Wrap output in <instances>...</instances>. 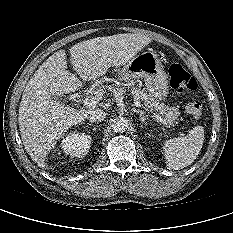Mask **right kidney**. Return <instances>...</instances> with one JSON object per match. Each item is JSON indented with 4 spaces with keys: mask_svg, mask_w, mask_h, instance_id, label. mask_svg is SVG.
I'll list each match as a JSON object with an SVG mask.
<instances>
[{
    "mask_svg": "<svg viewBox=\"0 0 233 233\" xmlns=\"http://www.w3.org/2000/svg\"><path fill=\"white\" fill-rule=\"evenodd\" d=\"M91 136L86 133L72 132L62 140L61 148L71 157H83L89 152Z\"/></svg>",
    "mask_w": 233,
    "mask_h": 233,
    "instance_id": "obj_1",
    "label": "right kidney"
}]
</instances>
